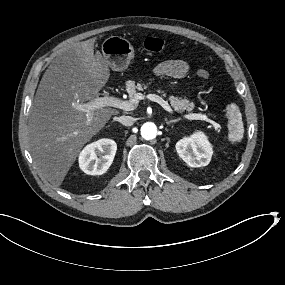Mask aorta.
I'll list each match as a JSON object with an SVG mask.
<instances>
[{"mask_svg": "<svg viewBox=\"0 0 285 285\" xmlns=\"http://www.w3.org/2000/svg\"><path fill=\"white\" fill-rule=\"evenodd\" d=\"M141 136L145 140H152L157 136V126L152 122H146L141 126Z\"/></svg>", "mask_w": 285, "mask_h": 285, "instance_id": "762f6f07", "label": "aorta"}]
</instances>
